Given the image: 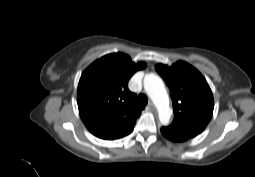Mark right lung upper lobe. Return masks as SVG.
<instances>
[{
	"instance_id": "1",
	"label": "right lung upper lobe",
	"mask_w": 255,
	"mask_h": 177,
	"mask_svg": "<svg viewBox=\"0 0 255 177\" xmlns=\"http://www.w3.org/2000/svg\"><path fill=\"white\" fill-rule=\"evenodd\" d=\"M144 62L134 63L124 53H113L93 62L81 75L77 103L80 117L95 136L111 140L136 123L143 106L128 81Z\"/></svg>"
}]
</instances>
